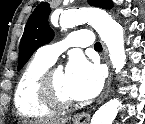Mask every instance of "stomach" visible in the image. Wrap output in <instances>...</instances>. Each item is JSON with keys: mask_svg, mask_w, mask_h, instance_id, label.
<instances>
[{"mask_svg": "<svg viewBox=\"0 0 145 124\" xmlns=\"http://www.w3.org/2000/svg\"><path fill=\"white\" fill-rule=\"evenodd\" d=\"M74 124H83V123H80V122H75Z\"/></svg>", "mask_w": 145, "mask_h": 124, "instance_id": "1", "label": "stomach"}]
</instances>
